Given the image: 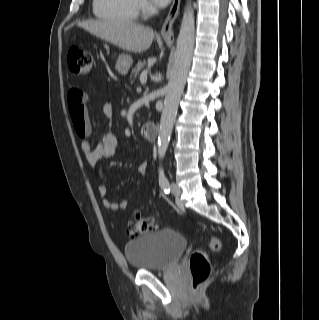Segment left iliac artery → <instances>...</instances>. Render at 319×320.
<instances>
[{"mask_svg":"<svg viewBox=\"0 0 319 320\" xmlns=\"http://www.w3.org/2000/svg\"><path fill=\"white\" fill-rule=\"evenodd\" d=\"M159 184L161 189L166 193L169 194L170 193V186H169V182L164 174V170L163 168L159 169Z\"/></svg>","mask_w":319,"mask_h":320,"instance_id":"44dca946","label":"left iliac artery"}]
</instances>
